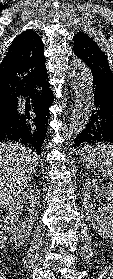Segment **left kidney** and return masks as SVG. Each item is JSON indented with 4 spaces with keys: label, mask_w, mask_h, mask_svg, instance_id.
I'll return each mask as SVG.
<instances>
[{
    "label": "left kidney",
    "mask_w": 113,
    "mask_h": 279,
    "mask_svg": "<svg viewBox=\"0 0 113 279\" xmlns=\"http://www.w3.org/2000/svg\"><path fill=\"white\" fill-rule=\"evenodd\" d=\"M92 195L105 200L101 210H95ZM82 196L86 215L93 228L99 236L113 241V191L95 180H90L85 183Z\"/></svg>",
    "instance_id": "5707ae66"
}]
</instances>
